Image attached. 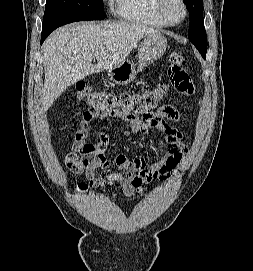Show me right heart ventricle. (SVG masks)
Here are the masks:
<instances>
[{
  "instance_id": "right-heart-ventricle-1",
  "label": "right heart ventricle",
  "mask_w": 253,
  "mask_h": 271,
  "mask_svg": "<svg viewBox=\"0 0 253 271\" xmlns=\"http://www.w3.org/2000/svg\"><path fill=\"white\" fill-rule=\"evenodd\" d=\"M155 2V0H114V9L120 18L128 22L156 29L166 28L168 25L157 14Z\"/></svg>"
}]
</instances>
